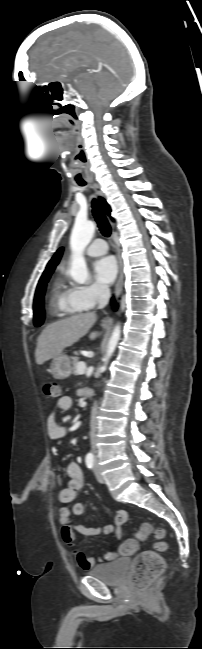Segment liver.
I'll use <instances>...</instances> for the list:
<instances>
[{"instance_id":"obj_1","label":"liver","mask_w":202,"mask_h":649,"mask_svg":"<svg viewBox=\"0 0 202 649\" xmlns=\"http://www.w3.org/2000/svg\"><path fill=\"white\" fill-rule=\"evenodd\" d=\"M96 321L94 312L78 314L66 319L56 321L48 325L40 334L35 350V359L38 365L60 355L66 347L73 345L81 337L87 334ZM107 320H102V327L106 328ZM99 336L98 332H92L90 339L94 340Z\"/></svg>"}]
</instances>
